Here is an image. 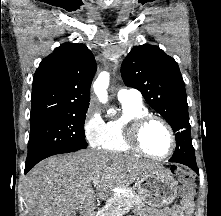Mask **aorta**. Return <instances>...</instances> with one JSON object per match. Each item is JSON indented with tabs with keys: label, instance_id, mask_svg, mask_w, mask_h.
<instances>
[{
	"label": "aorta",
	"instance_id": "1",
	"mask_svg": "<svg viewBox=\"0 0 221 216\" xmlns=\"http://www.w3.org/2000/svg\"><path fill=\"white\" fill-rule=\"evenodd\" d=\"M109 86V74L107 72H102L99 74L98 78L93 84V89L98 99L102 103L107 102V88ZM110 112H114L110 110Z\"/></svg>",
	"mask_w": 221,
	"mask_h": 216
}]
</instances>
